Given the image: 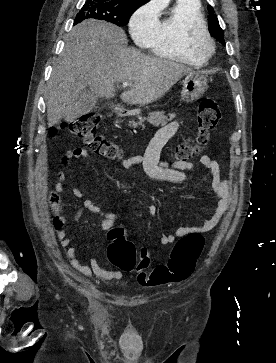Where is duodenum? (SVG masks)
Returning <instances> with one entry per match:
<instances>
[{
	"mask_svg": "<svg viewBox=\"0 0 276 363\" xmlns=\"http://www.w3.org/2000/svg\"><path fill=\"white\" fill-rule=\"evenodd\" d=\"M112 112L116 115V116H123L124 115V110L120 107H113L112 108Z\"/></svg>",
	"mask_w": 276,
	"mask_h": 363,
	"instance_id": "duodenum-1",
	"label": "duodenum"
}]
</instances>
